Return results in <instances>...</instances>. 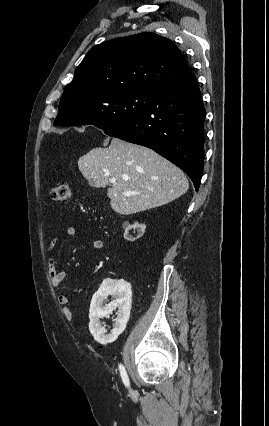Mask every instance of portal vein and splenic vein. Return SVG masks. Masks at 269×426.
Returning a JSON list of instances; mask_svg holds the SVG:
<instances>
[{
  "instance_id": "18ae733b",
  "label": "portal vein and splenic vein",
  "mask_w": 269,
  "mask_h": 426,
  "mask_svg": "<svg viewBox=\"0 0 269 426\" xmlns=\"http://www.w3.org/2000/svg\"><path fill=\"white\" fill-rule=\"evenodd\" d=\"M115 182H116V179H114V178L110 179V183L114 184ZM133 194H135V192H131V191L123 192V195H125V196H131Z\"/></svg>"
}]
</instances>
